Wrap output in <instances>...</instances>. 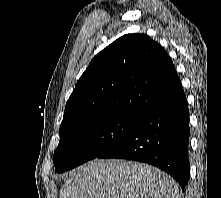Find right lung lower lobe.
I'll use <instances>...</instances> for the list:
<instances>
[{"mask_svg":"<svg viewBox=\"0 0 221 198\" xmlns=\"http://www.w3.org/2000/svg\"><path fill=\"white\" fill-rule=\"evenodd\" d=\"M189 110L182 85L139 118L133 129L96 158L145 162L170 174L184 190L190 176Z\"/></svg>","mask_w":221,"mask_h":198,"instance_id":"right-lung-lower-lobe-1","label":"right lung lower lobe"}]
</instances>
